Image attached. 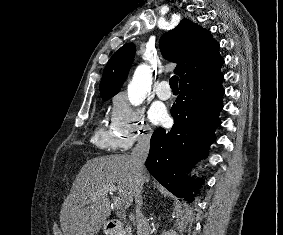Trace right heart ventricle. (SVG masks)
Returning <instances> with one entry per match:
<instances>
[{"label":"right heart ventricle","mask_w":283,"mask_h":235,"mask_svg":"<svg viewBox=\"0 0 283 235\" xmlns=\"http://www.w3.org/2000/svg\"><path fill=\"white\" fill-rule=\"evenodd\" d=\"M94 141L97 146L107 149L116 148V140L111 129H107L105 126H100L94 135Z\"/></svg>","instance_id":"right-heart-ventricle-1"}]
</instances>
